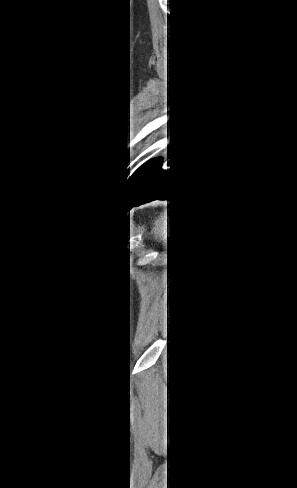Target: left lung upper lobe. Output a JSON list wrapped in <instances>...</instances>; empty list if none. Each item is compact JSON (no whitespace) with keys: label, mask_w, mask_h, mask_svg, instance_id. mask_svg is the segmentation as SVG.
<instances>
[{"label":"left lung upper lobe","mask_w":297,"mask_h":488,"mask_svg":"<svg viewBox=\"0 0 297 488\" xmlns=\"http://www.w3.org/2000/svg\"><path fill=\"white\" fill-rule=\"evenodd\" d=\"M148 163L144 164L142 167H140L134 174V177L135 179L134 180H131L129 183H133L135 180H136V176H140V174L142 173V171L147 167ZM130 185V184H129Z\"/></svg>","instance_id":"left-lung-upper-lobe-1"}]
</instances>
